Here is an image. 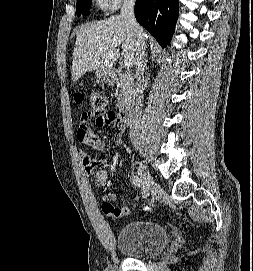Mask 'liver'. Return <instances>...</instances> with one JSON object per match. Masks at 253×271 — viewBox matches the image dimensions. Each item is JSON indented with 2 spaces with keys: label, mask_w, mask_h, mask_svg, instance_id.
Returning <instances> with one entry per match:
<instances>
[{
  "label": "liver",
  "mask_w": 253,
  "mask_h": 271,
  "mask_svg": "<svg viewBox=\"0 0 253 271\" xmlns=\"http://www.w3.org/2000/svg\"><path fill=\"white\" fill-rule=\"evenodd\" d=\"M120 45L124 58L135 62L137 40L121 15L80 27L73 52L72 80L76 82L87 71L110 70L120 56Z\"/></svg>",
  "instance_id": "obj_1"
}]
</instances>
